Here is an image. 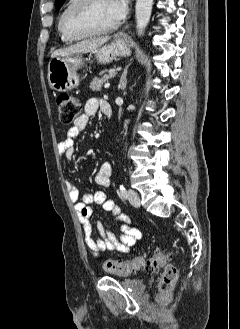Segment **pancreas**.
Segmentation results:
<instances>
[{
  "label": "pancreas",
  "instance_id": "1",
  "mask_svg": "<svg viewBox=\"0 0 240 329\" xmlns=\"http://www.w3.org/2000/svg\"><path fill=\"white\" fill-rule=\"evenodd\" d=\"M113 74H106L102 76L101 78L95 77L93 81L90 83V89L92 91H100L101 87L104 82H106L109 78H111Z\"/></svg>",
  "mask_w": 240,
  "mask_h": 329
}]
</instances>
